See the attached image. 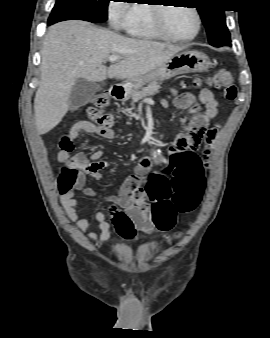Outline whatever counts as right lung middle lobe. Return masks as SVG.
Here are the masks:
<instances>
[{
    "label": "right lung middle lobe",
    "mask_w": 270,
    "mask_h": 338,
    "mask_svg": "<svg viewBox=\"0 0 270 338\" xmlns=\"http://www.w3.org/2000/svg\"><path fill=\"white\" fill-rule=\"evenodd\" d=\"M110 0H57L48 25L64 20H84L93 23L107 20Z\"/></svg>",
    "instance_id": "obj_1"
}]
</instances>
